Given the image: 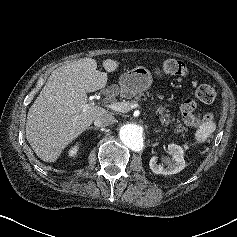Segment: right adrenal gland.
<instances>
[{"mask_svg":"<svg viewBox=\"0 0 237 237\" xmlns=\"http://www.w3.org/2000/svg\"><path fill=\"white\" fill-rule=\"evenodd\" d=\"M87 129H88V130H89V129L97 130L98 128L91 126V127H88Z\"/></svg>","mask_w":237,"mask_h":237,"instance_id":"1","label":"right adrenal gland"}]
</instances>
